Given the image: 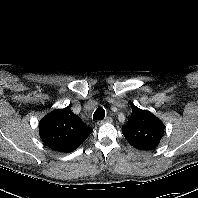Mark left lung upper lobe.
<instances>
[{
    "label": "left lung upper lobe",
    "mask_w": 198,
    "mask_h": 198,
    "mask_svg": "<svg viewBox=\"0 0 198 198\" xmlns=\"http://www.w3.org/2000/svg\"><path fill=\"white\" fill-rule=\"evenodd\" d=\"M164 128V124L154 114L134 106L122 133L136 149L152 150L159 144Z\"/></svg>",
    "instance_id": "5c2ea615"
}]
</instances>
